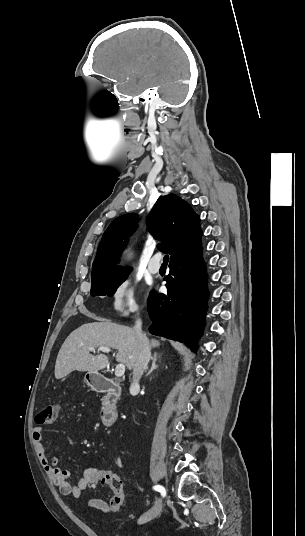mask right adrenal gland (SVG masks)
I'll use <instances>...</instances> for the list:
<instances>
[{"mask_svg":"<svg viewBox=\"0 0 305 536\" xmlns=\"http://www.w3.org/2000/svg\"><path fill=\"white\" fill-rule=\"evenodd\" d=\"M157 356H158V352H155L153 358H151V360H153V362H152V366H151L148 374H151V372H153V370H157V368H158V366L156 364ZM148 374H147V376H148Z\"/></svg>","mask_w":305,"mask_h":536,"instance_id":"right-adrenal-gland-1","label":"right adrenal gland"}]
</instances>
